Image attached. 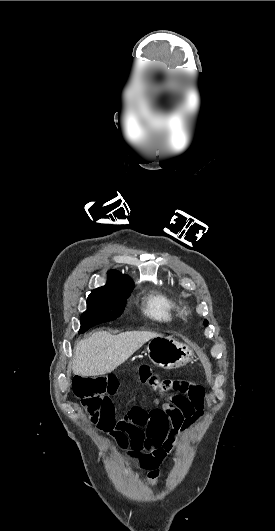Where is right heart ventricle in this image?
<instances>
[{"label":"right heart ventricle","mask_w":275,"mask_h":531,"mask_svg":"<svg viewBox=\"0 0 275 531\" xmlns=\"http://www.w3.org/2000/svg\"><path fill=\"white\" fill-rule=\"evenodd\" d=\"M147 315L160 322H170L178 313V304L165 290L150 288L144 295Z\"/></svg>","instance_id":"right-heart-ventricle-1"}]
</instances>
